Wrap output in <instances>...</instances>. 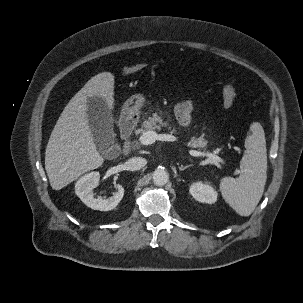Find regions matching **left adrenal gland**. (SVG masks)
<instances>
[{
  "instance_id": "a2214340",
  "label": "left adrenal gland",
  "mask_w": 303,
  "mask_h": 303,
  "mask_svg": "<svg viewBox=\"0 0 303 303\" xmlns=\"http://www.w3.org/2000/svg\"><path fill=\"white\" fill-rule=\"evenodd\" d=\"M191 166H192V164H189V165H186V166H182V165H181V166L179 167V170H180V171H183V170H185V169H187V168H189V167H191Z\"/></svg>"
}]
</instances>
